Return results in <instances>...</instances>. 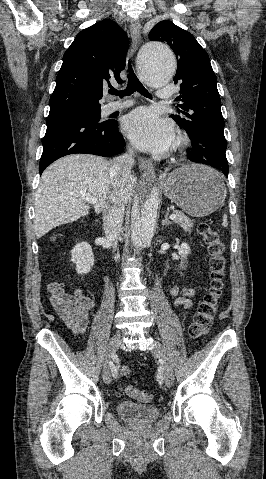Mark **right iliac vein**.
I'll list each match as a JSON object with an SVG mask.
<instances>
[{
	"mask_svg": "<svg viewBox=\"0 0 266 479\" xmlns=\"http://www.w3.org/2000/svg\"><path fill=\"white\" fill-rule=\"evenodd\" d=\"M120 343V332H116L109 341L107 349V359L103 370V379L105 383L109 384L111 381V368L108 361L116 354Z\"/></svg>",
	"mask_w": 266,
	"mask_h": 479,
	"instance_id": "1",
	"label": "right iliac vein"
}]
</instances>
